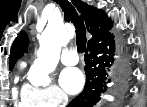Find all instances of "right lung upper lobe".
I'll list each match as a JSON object with an SVG mask.
<instances>
[{"label":"right lung upper lobe","instance_id":"obj_1","mask_svg":"<svg viewBox=\"0 0 147 107\" xmlns=\"http://www.w3.org/2000/svg\"><path fill=\"white\" fill-rule=\"evenodd\" d=\"M72 3L81 14V19L85 20L87 30L92 34V38L88 41V45L97 43L110 34L109 30L112 27V22L106 19L105 13L102 10L93 8L80 0H72ZM28 45V36L24 31L20 32L11 47L9 57L10 67H14L16 61L22 57L24 51L27 50Z\"/></svg>","mask_w":147,"mask_h":107}]
</instances>
